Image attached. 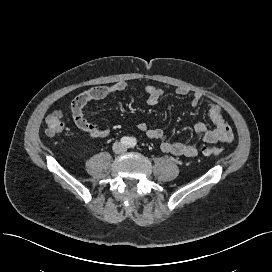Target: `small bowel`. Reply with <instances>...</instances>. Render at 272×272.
Here are the masks:
<instances>
[{
    "label": "small bowel",
    "mask_w": 272,
    "mask_h": 272,
    "mask_svg": "<svg viewBox=\"0 0 272 272\" xmlns=\"http://www.w3.org/2000/svg\"><path fill=\"white\" fill-rule=\"evenodd\" d=\"M135 85L127 81H119L112 85L96 86L80 95H78L71 104V112L75 125L85 132L91 138H105L110 135L109 127H102L97 123L88 121L84 116V107L92 101L102 100L116 93L125 92L135 89ZM147 94V103L151 106L157 105L164 95V91L154 86H145L143 88ZM176 94L179 96L191 95V103L196 106L203 100L200 93H191L186 87H178ZM208 116L212 121L214 128H209L205 123L198 122L194 126L195 133L205 143H231L234 139V133L229 122L224 118L221 105L209 99L206 103ZM136 128L141 133H144L148 138L157 140L160 143V149L169 154L194 157L197 155V149L194 145L174 141L167 138L163 130L148 126L144 122L136 125Z\"/></svg>",
    "instance_id": "obj_1"
}]
</instances>
